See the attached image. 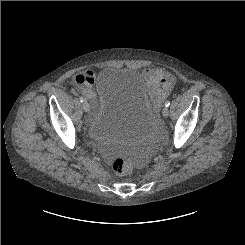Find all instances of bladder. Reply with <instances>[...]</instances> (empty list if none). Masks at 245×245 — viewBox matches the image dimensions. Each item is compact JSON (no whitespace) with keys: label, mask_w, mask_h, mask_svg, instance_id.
<instances>
[{"label":"bladder","mask_w":245,"mask_h":245,"mask_svg":"<svg viewBox=\"0 0 245 245\" xmlns=\"http://www.w3.org/2000/svg\"><path fill=\"white\" fill-rule=\"evenodd\" d=\"M96 94V108L86 129L90 141L132 143L156 128L137 69L106 66L99 73Z\"/></svg>","instance_id":"obj_1"}]
</instances>
